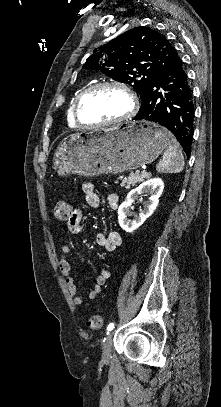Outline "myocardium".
I'll return each instance as SVG.
<instances>
[{"label":"myocardium","mask_w":221,"mask_h":407,"mask_svg":"<svg viewBox=\"0 0 221 407\" xmlns=\"http://www.w3.org/2000/svg\"><path fill=\"white\" fill-rule=\"evenodd\" d=\"M105 88H118L123 90L129 97L130 99V110L127 114L124 116L114 119V120H109V121H104V122H98L95 124V126H102V125H114V124H119L124 121H127L128 119L132 118L139 107L138 99L134 91L126 84L120 83V82H103V83H98L90 86L87 88L77 99L74 109H73V118L75 120V123L79 126H86L89 125L82 116V106L84 103L97 91ZM92 126V125H91Z\"/></svg>","instance_id":"myocardium-1"}]
</instances>
